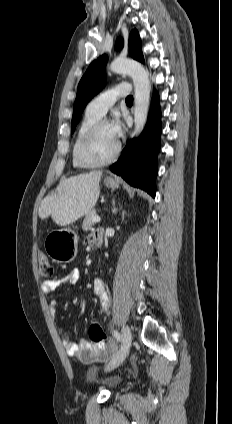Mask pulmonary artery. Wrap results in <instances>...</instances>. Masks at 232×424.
I'll list each match as a JSON object with an SVG mask.
<instances>
[{"mask_svg": "<svg viewBox=\"0 0 232 424\" xmlns=\"http://www.w3.org/2000/svg\"><path fill=\"white\" fill-rule=\"evenodd\" d=\"M130 90L131 87L127 83H121L107 89L88 104L87 110L101 117L105 115L118 98L128 96Z\"/></svg>", "mask_w": 232, "mask_h": 424, "instance_id": "1", "label": "pulmonary artery"}]
</instances>
